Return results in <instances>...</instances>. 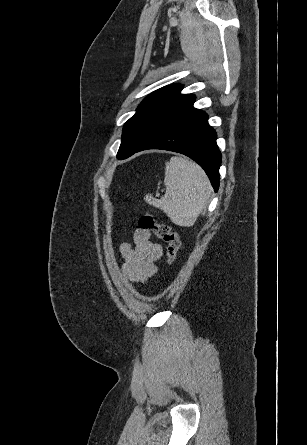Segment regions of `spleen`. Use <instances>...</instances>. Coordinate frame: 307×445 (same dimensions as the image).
<instances>
[{
	"label": "spleen",
	"instance_id": "spleen-1",
	"mask_svg": "<svg viewBox=\"0 0 307 445\" xmlns=\"http://www.w3.org/2000/svg\"><path fill=\"white\" fill-rule=\"evenodd\" d=\"M164 184V196L146 194V202L161 208L174 225L193 227L212 192L203 168L184 156H171L166 162Z\"/></svg>",
	"mask_w": 307,
	"mask_h": 445
}]
</instances>
